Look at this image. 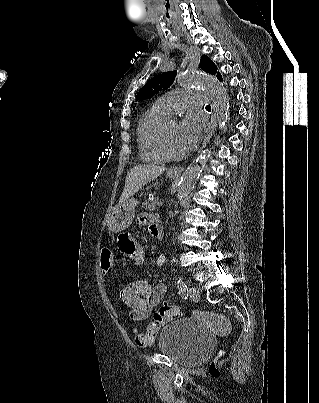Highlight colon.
<instances>
[{
    "mask_svg": "<svg viewBox=\"0 0 319 403\" xmlns=\"http://www.w3.org/2000/svg\"><path fill=\"white\" fill-rule=\"evenodd\" d=\"M121 251V248H119ZM132 257H130L131 259ZM119 268H128L129 262H122L118 260ZM120 284V281H117ZM152 285L151 282H124L123 285V305L124 308L120 310L122 317H127L129 313H148L150 291ZM182 315V309L178 305H163L161 306L152 317V322L148 325L145 333L133 334L135 343L140 347H148L152 344L153 340L159 333L161 327L169 321L175 320ZM131 331H136V326H131ZM223 355V352H219L216 356V360ZM214 371L216 369L214 368Z\"/></svg>",
    "mask_w": 319,
    "mask_h": 403,
    "instance_id": "obj_1",
    "label": "colon"
}]
</instances>
